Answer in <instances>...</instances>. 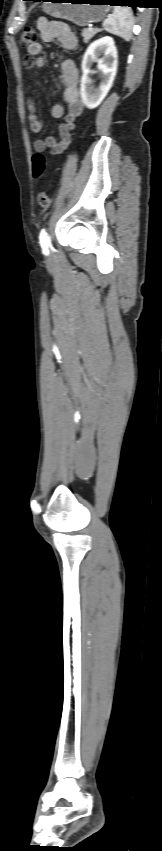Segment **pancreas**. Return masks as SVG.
Masks as SVG:
<instances>
[{
	"instance_id": "pancreas-1",
	"label": "pancreas",
	"mask_w": 162,
	"mask_h": 851,
	"mask_svg": "<svg viewBox=\"0 0 162 851\" xmlns=\"http://www.w3.org/2000/svg\"><path fill=\"white\" fill-rule=\"evenodd\" d=\"M98 32H100L99 29H93V28L84 29L82 31V37H83L84 43H88L90 41V39H92L94 37V35L97 34Z\"/></svg>"
}]
</instances>
